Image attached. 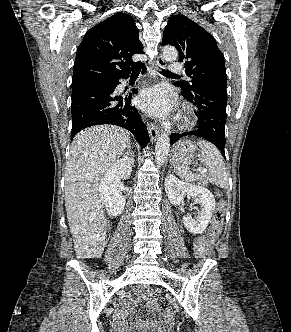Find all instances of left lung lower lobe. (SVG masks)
<instances>
[{
	"mask_svg": "<svg viewBox=\"0 0 291 332\" xmlns=\"http://www.w3.org/2000/svg\"><path fill=\"white\" fill-rule=\"evenodd\" d=\"M182 95L198 108L196 111L198 129L182 134H171L170 144L172 145L177 139L186 135L203 137L214 144L225 158L226 89L198 88L191 94L182 93Z\"/></svg>",
	"mask_w": 291,
	"mask_h": 332,
	"instance_id": "obj_1",
	"label": "left lung lower lobe"
}]
</instances>
